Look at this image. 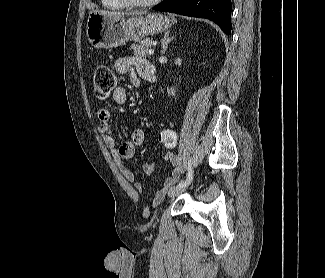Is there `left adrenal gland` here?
Masks as SVG:
<instances>
[{"mask_svg":"<svg viewBox=\"0 0 325 278\" xmlns=\"http://www.w3.org/2000/svg\"><path fill=\"white\" fill-rule=\"evenodd\" d=\"M169 33H170V31L166 32L164 34V37H163L162 41H161V45H162L161 54L165 53V51L167 50L168 43H170L174 39V36L169 37Z\"/></svg>","mask_w":325,"mask_h":278,"instance_id":"left-adrenal-gland-1","label":"left adrenal gland"}]
</instances>
